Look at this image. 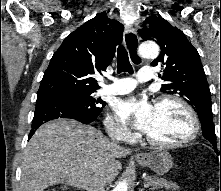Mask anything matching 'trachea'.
<instances>
[{
  "instance_id": "1",
  "label": "trachea",
  "mask_w": 221,
  "mask_h": 191,
  "mask_svg": "<svg viewBox=\"0 0 221 191\" xmlns=\"http://www.w3.org/2000/svg\"><path fill=\"white\" fill-rule=\"evenodd\" d=\"M117 72H128L129 74H133V68L129 62L128 53L123 46H119L117 49Z\"/></svg>"
}]
</instances>
